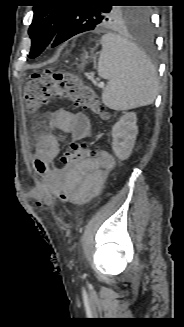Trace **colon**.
Instances as JSON below:
<instances>
[{
	"instance_id": "colon-1",
	"label": "colon",
	"mask_w": 184,
	"mask_h": 327,
	"mask_svg": "<svg viewBox=\"0 0 184 327\" xmlns=\"http://www.w3.org/2000/svg\"><path fill=\"white\" fill-rule=\"evenodd\" d=\"M54 98L71 101L78 108L91 110L102 119L108 118L95 92L78 75L67 71L45 70L29 78L24 90V101L29 112L40 109ZM69 150L85 156H92L96 152L87 143L72 145ZM39 171L49 183L55 186L54 198L56 200L63 204L81 203L66 191L56 187V178L47 163L40 161Z\"/></svg>"
}]
</instances>
